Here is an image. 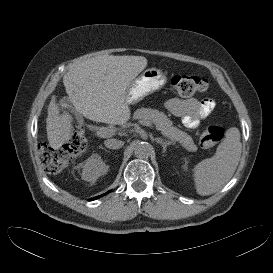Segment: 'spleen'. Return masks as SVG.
Listing matches in <instances>:
<instances>
[{"mask_svg":"<svg viewBox=\"0 0 273 273\" xmlns=\"http://www.w3.org/2000/svg\"><path fill=\"white\" fill-rule=\"evenodd\" d=\"M241 152L240 132L232 127L227 130L226 138L218 145L215 155L194 166L193 179L197 193L206 196L221 189L233 176Z\"/></svg>","mask_w":273,"mask_h":273,"instance_id":"3e777b00","label":"spleen"}]
</instances>
